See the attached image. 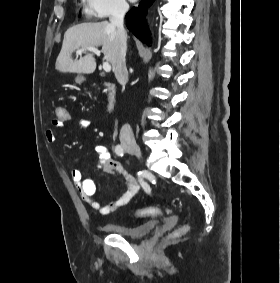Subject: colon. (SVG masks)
<instances>
[{"label":"colon","instance_id":"1","mask_svg":"<svg viewBox=\"0 0 280 283\" xmlns=\"http://www.w3.org/2000/svg\"><path fill=\"white\" fill-rule=\"evenodd\" d=\"M55 112V118L58 122H69L72 118V115L68 111V107H64V105H59V107L54 109ZM162 213L161 209L157 207H146L139 209L136 213V215L140 218H146V217H154L157 215H160ZM189 226L184 225L179 230V234H184L188 231Z\"/></svg>","mask_w":280,"mask_h":283}]
</instances>
